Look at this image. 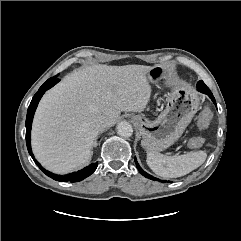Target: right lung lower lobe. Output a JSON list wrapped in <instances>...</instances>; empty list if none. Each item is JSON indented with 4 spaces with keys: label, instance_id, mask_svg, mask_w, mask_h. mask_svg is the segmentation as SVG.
<instances>
[{
    "label": "right lung lower lobe",
    "instance_id": "1",
    "mask_svg": "<svg viewBox=\"0 0 241 241\" xmlns=\"http://www.w3.org/2000/svg\"><path fill=\"white\" fill-rule=\"evenodd\" d=\"M58 75H56L55 77H52L50 79H48L38 90V92L34 95L29 107H28V111H27V117H26V144H27V149L29 154L31 155V157L33 158V160L35 161V163L37 164V166L49 177H51L52 179H55L57 181H66V182H78L81 181L83 179H85L86 177H88L89 175H91L97 168V163H92L91 165L85 167L84 169L78 171V172H73L71 174L68 175H56L53 174L47 170H45L38 162L37 160L34 159L32 150H31V125H32V120H33V116H34V112L37 108V105L41 99V97L43 96V94L45 93L46 90H48L49 88H51L52 86H54L57 82H59V79H56Z\"/></svg>",
    "mask_w": 241,
    "mask_h": 241
}]
</instances>
